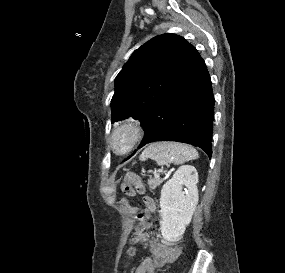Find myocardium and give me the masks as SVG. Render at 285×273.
Instances as JSON below:
<instances>
[{"instance_id": "1", "label": "myocardium", "mask_w": 285, "mask_h": 273, "mask_svg": "<svg viewBox=\"0 0 285 273\" xmlns=\"http://www.w3.org/2000/svg\"><path fill=\"white\" fill-rule=\"evenodd\" d=\"M143 135L142 124L138 120L128 117L114 125L109 136V146L115 154L124 156L140 143Z\"/></svg>"}]
</instances>
